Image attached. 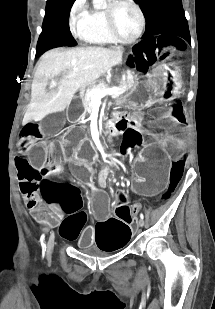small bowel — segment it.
I'll list each match as a JSON object with an SVG mask.
<instances>
[{"label":"small bowel","mask_w":215,"mask_h":309,"mask_svg":"<svg viewBox=\"0 0 215 309\" xmlns=\"http://www.w3.org/2000/svg\"><path fill=\"white\" fill-rule=\"evenodd\" d=\"M124 129L125 130L131 129V131L129 132L131 134L128 133V134L125 135L124 142H126V140H127L129 142V144H133V145L136 144V141L133 138V135L136 133V130H137L135 123H131L130 125H128ZM121 193H122V190H120V189H114L113 190V194H114L115 197H119L121 195Z\"/></svg>","instance_id":"c3829d8e"}]
</instances>
